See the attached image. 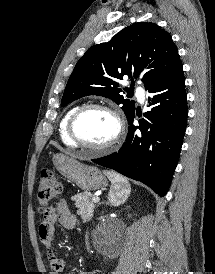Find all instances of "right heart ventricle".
I'll return each instance as SVG.
<instances>
[{
  "label": "right heart ventricle",
  "mask_w": 215,
  "mask_h": 274,
  "mask_svg": "<svg viewBox=\"0 0 215 274\" xmlns=\"http://www.w3.org/2000/svg\"><path fill=\"white\" fill-rule=\"evenodd\" d=\"M77 108H78V106H75V107H72L71 109H69L66 112V114L63 116V118L61 119L60 124H59L60 139L63 142V144H65L66 146H69V147H77L78 146L74 141H72V139L70 138V136L68 134L69 119Z\"/></svg>",
  "instance_id": "right-heart-ventricle-1"
}]
</instances>
